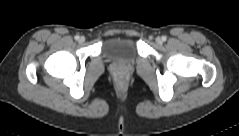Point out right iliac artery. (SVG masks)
Here are the masks:
<instances>
[{"label":"right iliac artery","mask_w":239,"mask_h":136,"mask_svg":"<svg viewBox=\"0 0 239 136\" xmlns=\"http://www.w3.org/2000/svg\"><path fill=\"white\" fill-rule=\"evenodd\" d=\"M79 38H80V37H79L78 35L75 36V40H79Z\"/></svg>","instance_id":"1"}]
</instances>
